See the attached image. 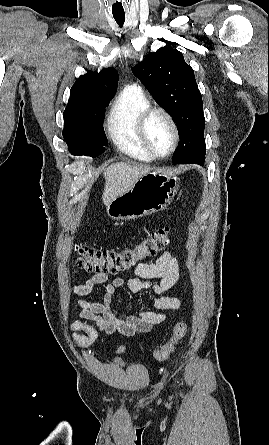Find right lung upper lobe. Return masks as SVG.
<instances>
[{
    "label": "right lung upper lobe",
    "mask_w": 269,
    "mask_h": 445,
    "mask_svg": "<svg viewBox=\"0 0 269 445\" xmlns=\"http://www.w3.org/2000/svg\"><path fill=\"white\" fill-rule=\"evenodd\" d=\"M118 73L113 68L80 76L71 88L67 109L107 103L115 94Z\"/></svg>",
    "instance_id": "right-lung-upper-lobe-1"
}]
</instances>
